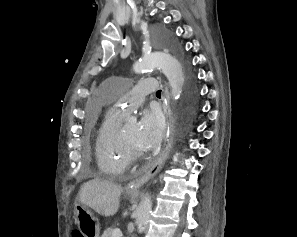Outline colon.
I'll use <instances>...</instances> for the list:
<instances>
[{"label":"colon","instance_id":"colon-1","mask_svg":"<svg viewBox=\"0 0 297 237\" xmlns=\"http://www.w3.org/2000/svg\"><path fill=\"white\" fill-rule=\"evenodd\" d=\"M72 237H83V235L80 232L75 231L72 233Z\"/></svg>","mask_w":297,"mask_h":237}]
</instances>
